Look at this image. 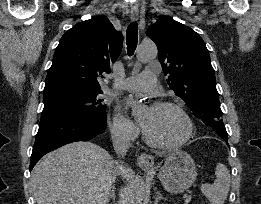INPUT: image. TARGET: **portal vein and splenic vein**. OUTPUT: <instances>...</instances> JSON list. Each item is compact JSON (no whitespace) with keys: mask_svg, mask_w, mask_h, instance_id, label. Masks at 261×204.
Segmentation results:
<instances>
[{"mask_svg":"<svg viewBox=\"0 0 261 204\" xmlns=\"http://www.w3.org/2000/svg\"><path fill=\"white\" fill-rule=\"evenodd\" d=\"M183 198H184V203L188 204L191 201L192 196H191V194L185 193Z\"/></svg>","mask_w":261,"mask_h":204,"instance_id":"obj_1","label":"portal vein and splenic vein"}]
</instances>
